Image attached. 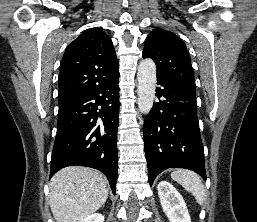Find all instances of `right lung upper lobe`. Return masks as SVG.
I'll use <instances>...</instances> for the list:
<instances>
[{
    "label": "right lung upper lobe",
    "instance_id": "right-lung-upper-lobe-1",
    "mask_svg": "<svg viewBox=\"0 0 257 222\" xmlns=\"http://www.w3.org/2000/svg\"><path fill=\"white\" fill-rule=\"evenodd\" d=\"M119 63L110 37L101 29H90L69 44L60 64L59 107L95 91L111 79Z\"/></svg>",
    "mask_w": 257,
    "mask_h": 222
}]
</instances>
